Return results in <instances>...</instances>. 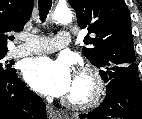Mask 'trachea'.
Segmentation results:
<instances>
[{"label": "trachea", "mask_w": 142, "mask_h": 119, "mask_svg": "<svg viewBox=\"0 0 142 119\" xmlns=\"http://www.w3.org/2000/svg\"><path fill=\"white\" fill-rule=\"evenodd\" d=\"M38 4L40 20L45 21L52 6V0H39Z\"/></svg>", "instance_id": "obj_1"}]
</instances>
